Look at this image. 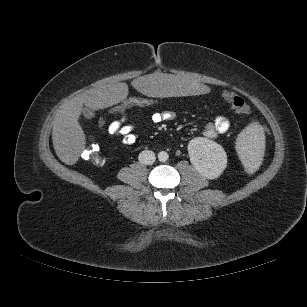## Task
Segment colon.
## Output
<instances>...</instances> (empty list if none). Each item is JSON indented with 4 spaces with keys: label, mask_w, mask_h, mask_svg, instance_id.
<instances>
[{
    "label": "colon",
    "mask_w": 307,
    "mask_h": 307,
    "mask_svg": "<svg viewBox=\"0 0 307 307\" xmlns=\"http://www.w3.org/2000/svg\"><path fill=\"white\" fill-rule=\"evenodd\" d=\"M222 98L230 104L232 109L240 115H249L251 108L247 102L237 94L229 91H225L222 94ZM168 99L154 98L145 95H133L130 96L113 108L109 109L104 117L101 118L100 128L107 131V126L110 122L123 118L128 115L133 108H143L157 106ZM83 156L86 160L95 165H102L104 158L101 154L99 146L94 142H89L83 150Z\"/></svg>",
    "instance_id": "5ec220e1"
}]
</instances>
